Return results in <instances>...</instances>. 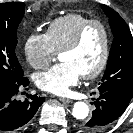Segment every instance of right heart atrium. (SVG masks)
I'll list each match as a JSON object with an SVG mask.
<instances>
[{"label":"right heart atrium","mask_w":133,"mask_h":133,"mask_svg":"<svg viewBox=\"0 0 133 133\" xmlns=\"http://www.w3.org/2000/svg\"><path fill=\"white\" fill-rule=\"evenodd\" d=\"M24 53L28 63L35 69L46 68L57 51L44 33H34L24 43Z\"/></svg>","instance_id":"1"}]
</instances>
